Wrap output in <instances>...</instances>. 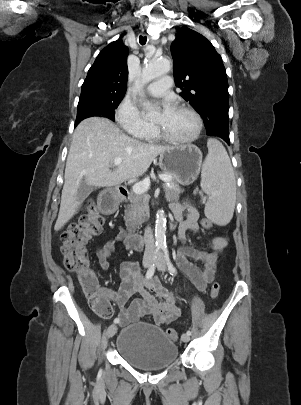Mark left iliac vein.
Returning a JSON list of instances; mask_svg holds the SVG:
<instances>
[{"label": "left iliac vein", "mask_w": 301, "mask_h": 405, "mask_svg": "<svg viewBox=\"0 0 301 405\" xmlns=\"http://www.w3.org/2000/svg\"><path fill=\"white\" fill-rule=\"evenodd\" d=\"M156 268L159 271H165L166 270V262L165 259L163 257V254L161 252L158 253L157 255V259H156ZM181 340L183 342H188L190 340V336L187 333L182 334L181 336Z\"/></svg>", "instance_id": "left-iliac-vein-1"}]
</instances>
